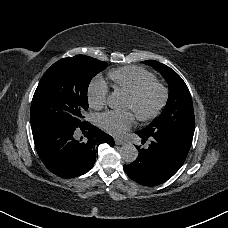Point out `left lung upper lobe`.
Listing matches in <instances>:
<instances>
[{
    "label": "left lung upper lobe",
    "mask_w": 228,
    "mask_h": 228,
    "mask_svg": "<svg viewBox=\"0 0 228 228\" xmlns=\"http://www.w3.org/2000/svg\"><path fill=\"white\" fill-rule=\"evenodd\" d=\"M159 71L169 86V97L161 115L144 131L194 135L195 118L190 92L183 79L170 67L154 60L143 62Z\"/></svg>",
    "instance_id": "5c2ea615"
}]
</instances>
